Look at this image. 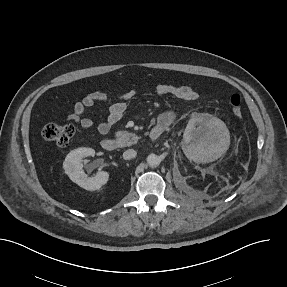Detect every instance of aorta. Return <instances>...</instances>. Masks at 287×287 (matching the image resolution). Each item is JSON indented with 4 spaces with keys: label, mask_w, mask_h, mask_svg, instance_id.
Returning a JSON list of instances; mask_svg holds the SVG:
<instances>
[{
    "label": "aorta",
    "mask_w": 287,
    "mask_h": 287,
    "mask_svg": "<svg viewBox=\"0 0 287 287\" xmlns=\"http://www.w3.org/2000/svg\"><path fill=\"white\" fill-rule=\"evenodd\" d=\"M147 163L152 168L157 167L160 164V157L156 154H150L147 157Z\"/></svg>",
    "instance_id": "1"
}]
</instances>
